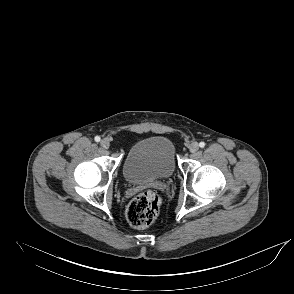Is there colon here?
Returning <instances> with one entry per match:
<instances>
[{"label": "colon", "mask_w": 294, "mask_h": 294, "mask_svg": "<svg viewBox=\"0 0 294 294\" xmlns=\"http://www.w3.org/2000/svg\"><path fill=\"white\" fill-rule=\"evenodd\" d=\"M160 198L152 190H146L134 197L126 211L129 224L135 228H146L157 218L160 211Z\"/></svg>", "instance_id": "colon-1"}]
</instances>
